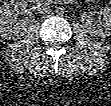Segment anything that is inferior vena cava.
Returning a JSON list of instances; mask_svg holds the SVG:
<instances>
[{
	"label": "inferior vena cava",
	"mask_w": 111,
	"mask_h": 106,
	"mask_svg": "<svg viewBox=\"0 0 111 106\" xmlns=\"http://www.w3.org/2000/svg\"><path fill=\"white\" fill-rule=\"evenodd\" d=\"M37 11L40 14H46L50 11V7L47 4L40 2L37 6Z\"/></svg>",
	"instance_id": "inferior-vena-cava-1"
}]
</instances>
